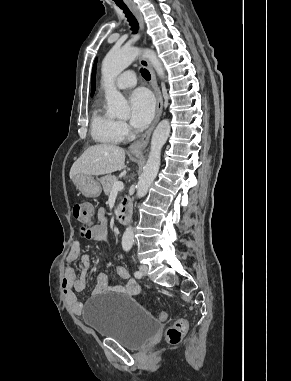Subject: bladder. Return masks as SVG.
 I'll return each instance as SVG.
<instances>
[{"label":"bladder","instance_id":"bladder-1","mask_svg":"<svg viewBox=\"0 0 291 381\" xmlns=\"http://www.w3.org/2000/svg\"><path fill=\"white\" fill-rule=\"evenodd\" d=\"M83 320L100 337L116 340L133 350L144 347L159 328V323L129 295L96 297L87 306Z\"/></svg>","mask_w":291,"mask_h":381}]
</instances>
